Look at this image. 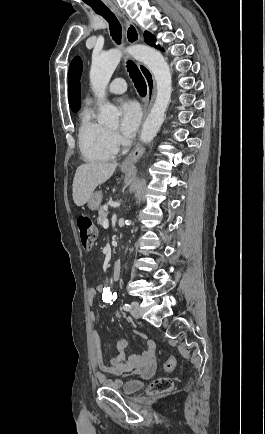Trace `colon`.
Listing matches in <instances>:
<instances>
[{
	"label": "colon",
	"instance_id": "obj_1",
	"mask_svg": "<svg viewBox=\"0 0 265 434\" xmlns=\"http://www.w3.org/2000/svg\"><path fill=\"white\" fill-rule=\"evenodd\" d=\"M76 225L80 238L81 245L84 250H90L94 247L97 239V231L94 226L93 219L88 215H79L76 218ZM177 366L175 358H169L163 365L165 372H170ZM173 382L171 379L162 377L161 380L157 378L149 383V390L151 393L160 394L171 391Z\"/></svg>",
	"mask_w": 265,
	"mask_h": 434
}]
</instances>
